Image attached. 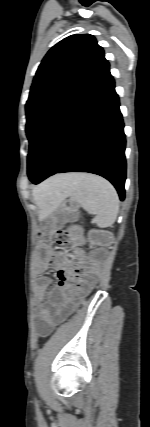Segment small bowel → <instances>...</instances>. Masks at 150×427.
I'll return each instance as SVG.
<instances>
[{
  "label": "small bowel",
  "instance_id": "c3829d8e",
  "mask_svg": "<svg viewBox=\"0 0 150 427\" xmlns=\"http://www.w3.org/2000/svg\"><path fill=\"white\" fill-rule=\"evenodd\" d=\"M66 264V260L59 254H44L38 256L36 260L35 269L38 274H41L48 268H61ZM51 284V279L46 276L38 278L36 299L38 302L43 301L49 297L51 293L48 288ZM88 291V287L81 289L80 293L83 295ZM77 301H73L63 305L57 311L51 310V305H44L38 315V333L40 336H47L51 333L53 328L62 320H64L74 310Z\"/></svg>",
  "mask_w": 150,
  "mask_h": 427
}]
</instances>
